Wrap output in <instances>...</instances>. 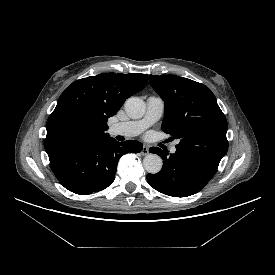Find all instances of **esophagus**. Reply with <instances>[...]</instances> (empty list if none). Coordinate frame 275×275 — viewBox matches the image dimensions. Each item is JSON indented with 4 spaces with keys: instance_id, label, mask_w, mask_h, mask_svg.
Returning a JSON list of instances; mask_svg holds the SVG:
<instances>
[{
    "instance_id": "obj_1",
    "label": "esophagus",
    "mask_w": 275,
    "mask_h": 275,
    "mask_svg": "<svg viewBox=\"0 0 275 275\" xmlns=\"http://www.w3.org/2000/svg\"><path fill=\"white\" fill-rule=\"evenodd\" d=\"M141 154L144 155V156L149 154V148L147 146H144L142 148Z\"/></svg>"
}]
</instances>
